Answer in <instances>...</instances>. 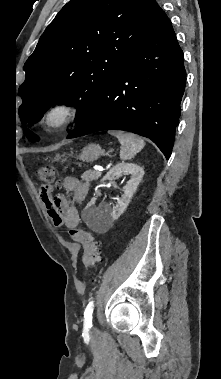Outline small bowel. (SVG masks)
<instances>
[{
    "instance_id": "1",
    "label": "small bowel",
    "mask_w": 221,
    "mask_h": 379,
    "mask_svg": "<svg viewBox=\"0 0 221 379\" xmlns=\"http://www.w3.org/2000/svg\"><path fill=\"white\" fill-rule=\"evenodd\" d=\"M63 188L65 195H60L58 190H49L46 193L42 192V200L55 226L77 228L80 217L76 204L86 198L89 186L76 177H66L63 180Z\"/></svg>"
}]
</instances>
